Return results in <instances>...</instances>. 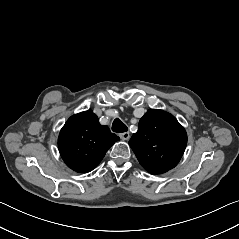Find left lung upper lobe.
Listing matches in <instances>:
<instances>
[{"label": "left lung upper lobe", "mask_w": 239, "mask_h": 239, "mask_svg": "<svg viewBox=\"0 0 239 239\" xmlns=\"http://www.w3.org/2000/svg\"><path fill=\"white\" fill-rule=\"evenodd\" d=\"M187 144L185 129L170 113L149 109L140 119L138 131L129 145L141 166L151 174H161L174 168Z\"/></svg>", "instance_id": "obj_1"}]
</instances>
